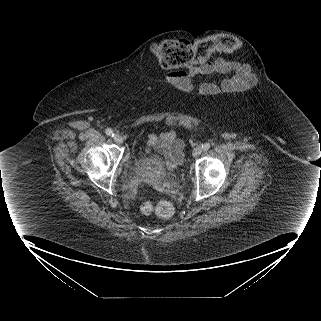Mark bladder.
Here are the masks:
<instances>
[{
    "label": "bladder",
    "instance_id": "1",
    "mask_svg": "<svg viewBox=\"0 0 321 321\" xmlns=\"http://www.w3.org/2000/svg\"><path fill=\"white\" fill-rule=\"evenodd\" d=\"M181 162L176 165L179 168ZM136 172L148 181H156L160 176L165 173V168L161 158L151 154H144L135 163Z\"/></svg>",
    "mask_w": 321,
    "mask_h": 321
}]
</instances>
